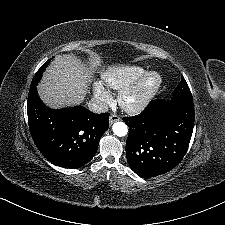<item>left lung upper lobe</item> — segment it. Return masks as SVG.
Instances as JSON below:
<instances>
[{
    "label": "left lung upper lobe",
    "mask_w": 225,
    "mask_h": 225,
    "mask_svg": "<svg viewBox=\"0 0 225 225\" xmlns=\"http://www.w3.org/2000/svg\"><path fill=\"white\" fill-rule=\"evenodd\" d=\"M181 82L180 84L175 88L173 92V98H186V99H191L192 95L190 92V89L184 79L183 76H181Z\"/></svg>",
    "instance_id": "obj_1"
}]
</instances>
